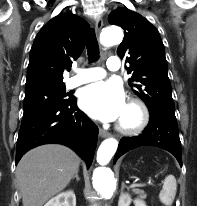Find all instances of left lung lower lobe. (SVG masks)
<instances>
[{
    "label": "left lung lower lobe",
    "mask_w": 197,
    "mask_h": 206,
    "mask_svg": "<svg viewBox=\"0 0 197 206\" xmlns=\"http://www.w3.org/2000/svg\"><path fill=\"white\" fill-rule=\"evenodd\" d=\"M156 146L172 153L182 166L181 142L175 114L165 111L150 113V121L143 133L136 137H123L115 161L125 152L140 146Z\"/></svg>",
    "instance_id": "left-lung-lower-lobe-1"
}]
</instances>
